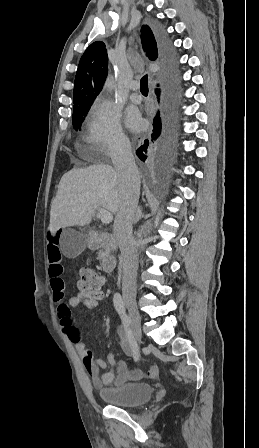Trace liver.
I'll use <instances>...</instances> for the list:
<instances>
[{"label":"liver","instance_id":"6515ba94","mask_svg":"<svg viewBox=\"0 0 259 448\" xmlns=\"http://www.w3.org/2000/svg\"><path fill=\"white\" fill-rule=\"evenodd\" d=\"M120 182L112 166L75 168L62 176L50 210V232L60 228L88 226L98 206L116 214Z\"/></svg>","mask_w":259,"mask_h":448}]
</instances>
